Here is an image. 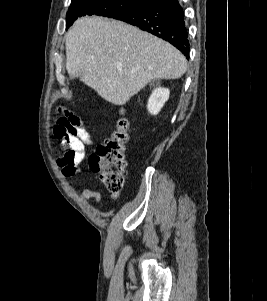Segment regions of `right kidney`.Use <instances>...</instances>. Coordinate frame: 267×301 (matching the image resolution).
Masks as SVG:
<instances>
[{"instance_id":"ca27d5eb","label":"right kidney","mask_w":267,"mask_h":301,"mask_svg":"<svg viewBox=\"0 0 267 301\" xmlns=\"http://www.w3.org/2000/svg\"><path fill=\"white\" fill-rule=\"evenodd\" d=\"M169 93V90L166 88H159L152 92L147 105L150 114L157 115L160 112L169 98Z\"/></svg>"}]
</instances>
